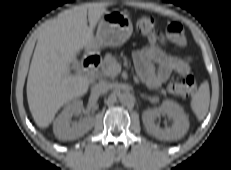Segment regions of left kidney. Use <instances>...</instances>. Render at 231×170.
<instances>
[{"label":"left kidney","instance_id":"5707ae66","mask_svg":"<svg viewBox=\"0 0 231 170\" xmlns=\"http://www.w3.org/2000/svg\"><path fill=\"white\" fill-rule=\"evenodd\" d=\"M161 114L167 115L173 120L171 127L162 129L155 124V120ZM142 120L148 133L160 140L180 139L189 129V120L183 108L172 100H165L159 108L145 110Z\"/></svg>","mask_w":231,"mask_h":170}]
</instances>
